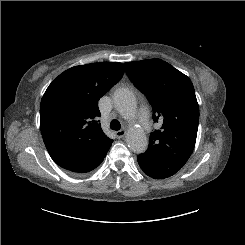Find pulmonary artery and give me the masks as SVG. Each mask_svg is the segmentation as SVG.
<instances>
[{
    "mask_svg": "<svg viewBox=\"0 0 245 245\" xmlns=\"http://www.w3.org/2000/svg\"><path fill=\"white\" fill-rule=\"evenodd\" d=\"M140 123H141L142 128L144 130L148 129V127L150 125L148 116L147 115L143 116V118L141 119Z\"/></svg>",
    "mask_w": 245,
    "mask_h": 245,
    "instance_id": "obj_1",
    "label": "pulmonary artery"
}]
</instances>
